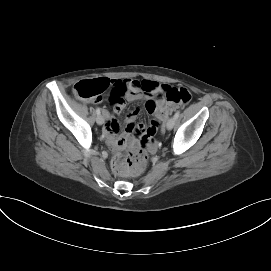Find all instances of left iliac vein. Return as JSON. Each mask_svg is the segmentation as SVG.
I'll use <instances>...</instances> for the list:
<instances>
[{"mask_svg": "<svg viewBox=\"0 0 271 271\" xmlns=\"http://www.w3.org/2000/svg\"><path fill=\"white\" fill-rule=\"evenodd\" d=\"M175 121H176V119L174 117H171L166 123V128L168 130H171L175 125Z\"/></svg>", "mask_w": 271, "mask_h": 271, "instance_id": "obj_1", "label": "left iliac vein"}]
</instances>
